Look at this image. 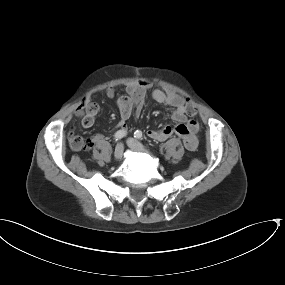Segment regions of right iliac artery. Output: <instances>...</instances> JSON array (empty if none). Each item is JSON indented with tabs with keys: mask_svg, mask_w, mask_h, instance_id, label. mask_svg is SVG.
<instances>
[{
	"mask_svg": "<svg viewBox=\"0 0 285 285\" xmlns=\"http://www.w3.org/2000/svg\"><path fill=\"white\" fill-rule=\"evenodd\" d=\"M125 135H126V131L119 130L115 133L114 139H115V141H118V140L122 139Z\"/></svg>",
	"mask_w": 285,
	"mask_h": 285,
	"instance_id": "obj_1",
	"label": "right iliac artery"
}]
</instances>
